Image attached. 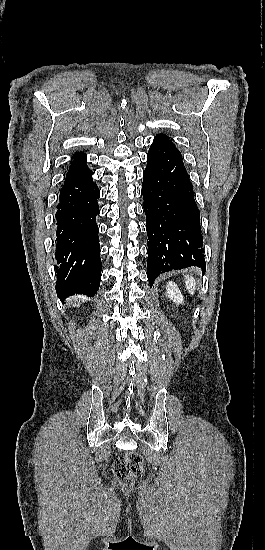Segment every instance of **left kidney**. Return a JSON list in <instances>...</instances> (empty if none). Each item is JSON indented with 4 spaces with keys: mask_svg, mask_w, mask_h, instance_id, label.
Here are the masks:
<instances>
[{
    "mask_svg": "<svg viewBox=\"0 0 265 550\" xmlns=\"http://www.w3.org/2000/svg\"><path fill=\"white\" fill-rule=\"evenodd\" d=\"M166 289L168 298H170L176 305L183 303V296L181 294V291L174 282L169 281L167 283Z\"/></svg>",
    "mask_w": 265,
    "mask_h": 550,
    "instance_id": "obj_1",
    "label": "left kidney"
}]
</instances>
